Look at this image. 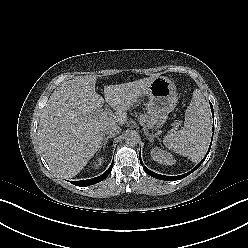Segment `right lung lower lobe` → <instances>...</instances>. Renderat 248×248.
Here are the masks:
<instances>
[{"instance_id":"1","label":"right lung lower lobe","mask_w":248,"mask_h":248,"mask_svg":"<svg viewBox=\"0 0 248 248\" xmlns=\"http://www.w3.org/2000/svg\"><path fill=\"white\" fill-rule=\"evenodd\" d=\"M113 163L112 162L111 166L109 167V169L103 173L102 175L96 177V178H92V179H88V180H82V181H72L71 183L76 185V186H89V185H93L96 184L102 180H104L111 172L112 167H113Z\"/></svg>"}]
</instances>
